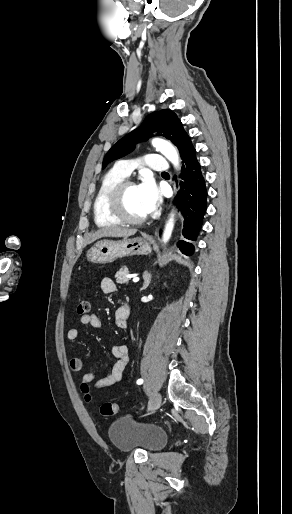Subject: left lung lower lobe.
<instances>
[{"instance_id": "0a47b994", "label": "left lung lower lobe", "mask_w": 292, "mask_h": 514, "mask_svg": "<svg viewBox=\"0 0 292 514\" xmlns=\"http://www.w3.org/2000/svg\"><path fill=\"white\" fill-rule=\"evenodd\" d=\"M181 158L183 164L180 177L183 181L174 202L184 218L182 236L187 240L196 241L207 209V189L192 143ZM177 247L187 256L194 252L193 244L187 241H178Z\"/></svg>"}]
</instances>
